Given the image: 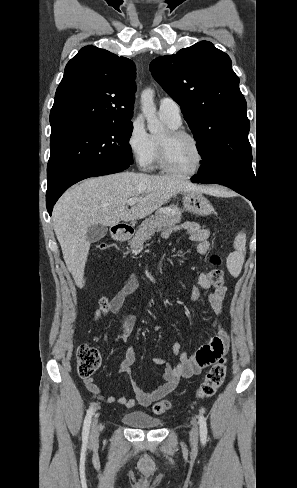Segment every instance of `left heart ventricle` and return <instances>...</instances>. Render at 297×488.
<instances>
[{
	"mask_svg": "<svg viewBox=\"0 0 297 488\" xmlns=\"http://www.w3.org/2000/svg\"><path fill=\"white\" fill-rule=\"evenodd\" d=\"M160 140L167 141L168 133ZM168 158L170 165L174 169L180 172H188L195 167L198 153L192 141L186 138H179L168 142Z\"/></svg>",
	"mask_w": 297,
	"mask_h": 488,
	"instance_id": "obj_1",
	"label": "left heart ventricle"
}]
</instances>
